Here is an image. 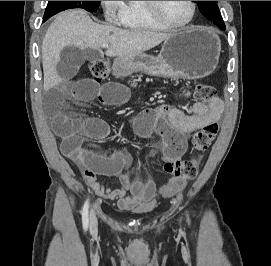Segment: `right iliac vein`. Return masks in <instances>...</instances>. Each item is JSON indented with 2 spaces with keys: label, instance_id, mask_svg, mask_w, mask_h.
Masks as SVG:
<instances>
[{
  "label": "right iliac vein",
  "instance_id": "63e3f726",
  "mask_svg": "<svg viewBox=\"0 0 271 266\" xmlns=\"http://www.w3.org/2000/svg\"><path fill=\"white\" fill-rule=\"evenodd\" d=\"M97 217L94 211L91 212L90 216V231L92 234H94L97 231Z\"/></svg>",
  "mask_w": 271,
  "mask_h": 266
}]
</instances>
